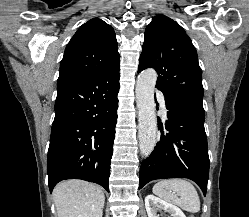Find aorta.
I'll use <instances>...</instances> for the list:
<instances>
[{"label": "aorta", "instance_id": "1", "mask_svg": "<svg viewBox=\"0 0 249 217\" xmlns=\"http://www.w3.org/2000/svg\"><path fill=\"white\" fill-rule=\"evenodd\" d=\"M156 81V71L154 69H146L139 74L136 83L135 92L139 116V148L144 157H148L156 145L157 118L154 101Z\"/></svg>", "mask_w": 249, "mask_h": 217}]
</instances>
